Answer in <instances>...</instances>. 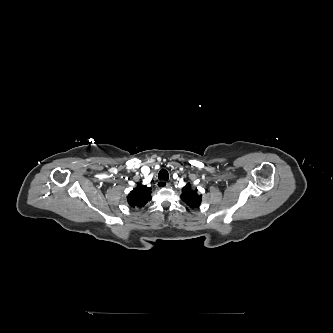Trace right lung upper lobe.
Instances as JSON below:
<instances>
[{
	"mask_svg": "<svg viewBox=\"0 0 333 333\" xmlns=\"http://www.w3.org/2000/svg\"><path fill=\"white\" fill-rule=\"evenodd\" d=\"M150 194L151 188L138 184V186L129 193L127 200L131 207H142L151 200L152 196Z\"/></svg>",
	"mask_w": 333,
	"mask_h": 333,
	"instance_id": "cb5924a9",
	"label": "right lung upper lobe"
}]
</instances>
